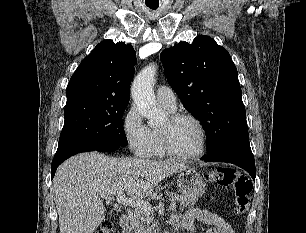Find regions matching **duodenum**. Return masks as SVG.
<instances>
[{"label":"duodenum","instance_id":"410a0bca","mask_svg":"<svg viewBox=\"0 0 306 233\" xmlns=\"http://www.w3.org/2000/svg\"><path fill=\"white\" fill-rule=\"evenodd\" d=\"M119 226L121 233H130V219L127 214H123L119 218Z\"/></svg>","mask_w":306,"mask_h":233}]
</instances>
